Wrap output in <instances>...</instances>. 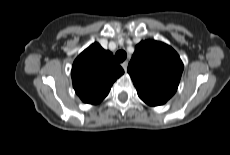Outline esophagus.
<instances>
[{
    "instance_id": "esophagus-1",
    "label": "esophagus",
    "mask_w": 230,
    "mask_h": 155,
    "mask_svg": "<svg viewBox=\"0 0 230 155\" xmlns=\"http://www.w3.org/2000/svg\"><path fill=\"white\" fill-rule=\"evenodd\" d=\"M122 68L126 71L128 66V61H125L121 64Z\"/></svg>"
}]
</instances>
